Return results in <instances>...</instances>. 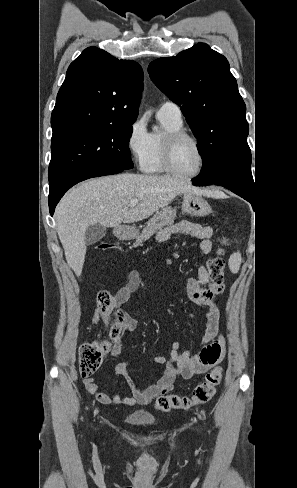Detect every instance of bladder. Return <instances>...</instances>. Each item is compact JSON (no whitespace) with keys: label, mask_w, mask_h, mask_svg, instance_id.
<instances>
[{"label":"bladder","mask_w":297,"mask_h":488,"mask_svg":"<svg viewBox=\"0 0 297 488\" xmlns=\"http://www.w3.org/2000/svg\"><path fill=\"white\" fill-rule=\"evenodd\" d=\"M125 420L127 423L138 427H148L156 423V420L144 411L131 412L126 415Z\"/></svg>","instance_id":"bladder-1"}]
</instances>
